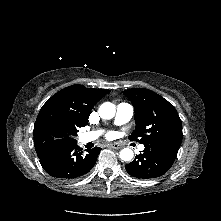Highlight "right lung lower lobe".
<instances>
[{
  "label": "right lung lower lobe",
  "instance_id": "98d812e1",
  "mask_svg": "<svg viewBox=\"0 0 221 221\" xmlns=\"http://www.w3.org/2000/svg\"><path fill=\"white\" fill-rule=\"evenodd\" d=\"M101 148L95 147L84 153L77 142L37 152L43 169L51 176L63 180H72L88 173L95 165Z\"/></svg>",
  "mask_w": 221,
  "mask_h": 221
}]
</instances>
